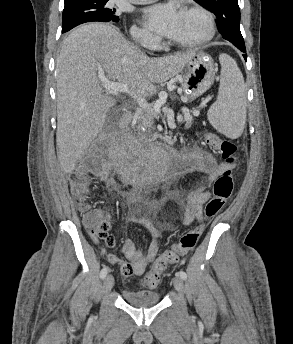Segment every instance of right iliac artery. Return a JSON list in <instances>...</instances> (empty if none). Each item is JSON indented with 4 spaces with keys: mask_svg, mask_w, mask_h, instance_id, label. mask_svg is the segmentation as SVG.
I'll return each mask as SVG.
<instances>
[{
    "mask_svg": "<svg viewBox=\"0 0 293 344\" xmlns=\"http://www.w3.org/2000/svg\"><path fill=\"white\" fill-rule=\"evenodd\" d=\"M108 271H109V268H108V267H104V268L101 270V272H100V277H101L102 279H104V278L106 277Z\"/></svg>",
    "mask_w": 293,
    "mask_h": 344,
    "instance_id": "1",
    "label": "right iliac artery"
}]
</instances>
